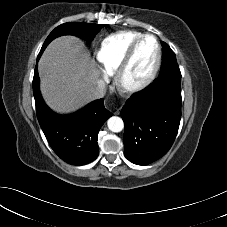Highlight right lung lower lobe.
<instances>
[{"label": "right lung lower lobe", "mask_w": 227, "mask_h": 227, "mask_svg": "<svg viewBox=\"0 0 227 227\" xmlns=\"http://www.w3.org/2000/svg\"><path fill=\"white\" fill-rule=\"evenodd\" d=\"M33 94L39 124L53 151L72 165H85L95 160L99 154V130L112 116L104 107V99L95 100L73 114L59 115L45 104L41 96L37 66Z\"/></svg>", "instance_id": "right-lung-lower-lobe-1"}]
</instances>
